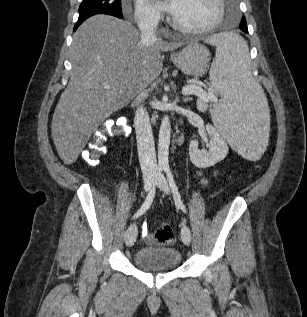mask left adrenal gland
Listing matches in <instances>:
<instances>
[{
  "instance_id": "obj_1",
  "label": "left adrenal gland",
  "mask_w": 307,
  "mask_h": 317,
  "mask_svg": "<svg viewBox=\"0 0 307 317\" xmlns=\"http://www.w3.org/2000/svg\"><path fill=\"white\" fill-rule=\"evenodd\" d=\"M191 100H192L191 97H186L183 101H184V102H188V101H191Z\"/></svg>"
}]
</instances>
